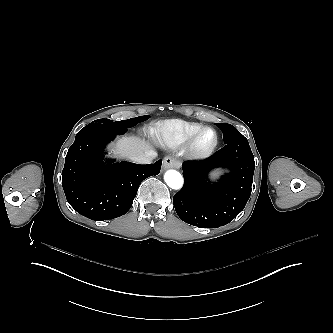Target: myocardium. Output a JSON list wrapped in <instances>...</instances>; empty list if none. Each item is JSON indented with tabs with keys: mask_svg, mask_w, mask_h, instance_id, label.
Listing matches in <instances>:
<instances>
[{
	"mask_svg": "<svg viewBox=\"0 0 333 333\" xmlns=\"http://www.w3.org/2000/svg\"><path fill=\"white\" fill-rule=\"evenodd\" d=\"M205 130H211L214 133V142L207 149L198 150L196 148L197 139H198L199 135ZM218 143H219V136H218L217 131L213 127L203 126V127H200L199 129H197L195 132H193L190 135L188 140L185 142L184 152H185L186 157L191 160H198V161L205 160V159L209 158L215 152V150L218 146Z\"/></svg>",
	"mask_w": 333,
	"mask_h": 333,
	"instance_id": "obj_1",
	"label": "myocardium"
}]
</instances>
